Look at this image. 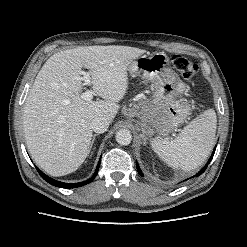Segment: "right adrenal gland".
<instances>
[{
    "label": "right adrenal gland",
    "mask_w": 247,
    "mask_h": 247,
    "mask_svg": "<svg viewBox=\"0 0 247 247\" xmlns=\"http://www.w3.org/2000/svg\"><path fill=\"white\" fill-rule=\"evenodd\" d=\"M99 134H94L93 135V138H92V141H91V145H90V150L92 149V147H93V144H94V141H95V138H96V136H98Z\"/></svg>",
    "instance_id": "1"
}]
</instances>
